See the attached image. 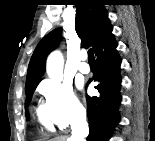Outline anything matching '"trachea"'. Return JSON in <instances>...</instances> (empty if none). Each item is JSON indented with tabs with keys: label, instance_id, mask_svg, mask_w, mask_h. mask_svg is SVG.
<instances>
[{
	"label": "trachea",
	"instance_id": "3493384b",
	"mask_svg": "<svg viewBox=\"0 0 155 141\" xmlns=\"http://www.w3.org/2000/svg\"><path fill=\"white\" fill-rule=\"evenodd\" d=\"M88 58H89V63H95L96 62L92 49L88 50Z\"/></svg>",
	"mask_w": 155,
	"mask_h": 141
}]
</instances>
